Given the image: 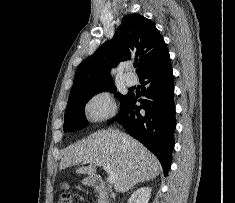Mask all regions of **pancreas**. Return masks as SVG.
Masks as SVG:
<instances>
[{
    "label": "pancreas",
    "mask_w": 235,
    "mask_h": 203,
    "mask_svg": "<svg viewBox=\"0 0 235 203\" xmlns=\"http://www.w3.org/2000/svg\"><path fill=\"white\" fill-rule=\"evenodd\" d=\"M98 203H109L108 198L105 193L99 192Z\"/></svg>",
    "instance_id": "1"
}]
</instances>
